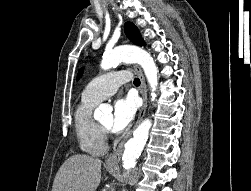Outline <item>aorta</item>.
<instances>
[{"instance_id":"762f6f07","label":"aorta","mask_w":251,"mask_h":191,"mask_svg":"<svg viewBox=\"0 0 251 191\" xmlns=\"http://www.w3.org/2000/svg\"><path fill=\"white\" fill-rule=\"evenodd\" d=\"M121 62L140 64L152 90L151 96L155 99L156 94L154 92H156L158 86V68L155 66V62L150 54L142 50V48H136V46H118V48H114L111 52H105L101 68L109 70V68H114L116 64H121ZM101 111H112V109L109 105L101 103L97 109V115H101ZM151 125V119H143L142 123L133 131V137L128 139L122 155L123 167L125 169L134 167L136 159L141 155V151L149 137Z\"/></svg>"}]
</instances>
